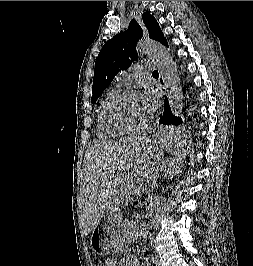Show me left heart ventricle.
<instances>
[{"instance_id":"1","label":"left heart ventricle","mask_w":253,"mask_h":266,"mask_svg":"<svg viewBox=\"0 0 253 266\" xmlns=\"http://www.w3.org/2000/svg\"><path fill=\"white\" fill-rule=\"evenodd\" d=\"M113 117L116 122L123 126H136L147 118V112L141 96L130 95L121 100L116 106Z\"/></svg>"}]
</instances>
